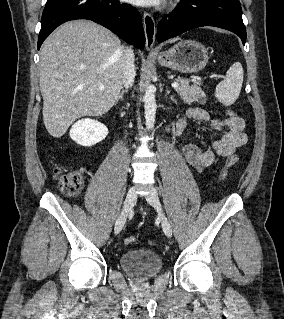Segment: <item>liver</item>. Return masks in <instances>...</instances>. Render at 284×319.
<instances>
[{"mask_svg":"<svg viewBox=\"0 0 284 319\" xmlns=\"http://www.w3.org/2000/svg\"><path fill=\"white\" fill-rule=\"evenodd\" d=\"M125 50L115 34L85 20L63 24L44 41L39 83L51 136L60 138L78 118L112 108L123 85Z\"/></svg>","mask_w":284,"mask_h":319,"instance_id":"liver-1","label":"liver"}]
</instances>
